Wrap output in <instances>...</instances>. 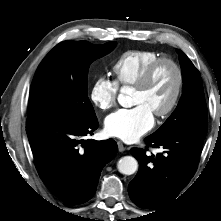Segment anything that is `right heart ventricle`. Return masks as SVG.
<instances>
[{
    "mask_svg": "<svg viewBox=\"0 0 221 221\" xmlns=\"http://www.w3.org/2000/svg\"><path fill=\"white\" fill-rule=\"evenodd\" d=\"M161 56L154 51L135 50L123 53L113 64L112 73L118 87L133 86L144 69Z\"/></svg>",
    "mask_w": 221,
    "mask_h": 221,
    "instance_id": "obj_1",
    "label": "right heart ventricle"
}]
</instances>
